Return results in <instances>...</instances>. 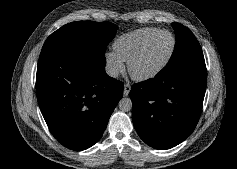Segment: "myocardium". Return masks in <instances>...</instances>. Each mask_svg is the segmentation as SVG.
Masks as SVG:
<instances>
[{"label": "myocardium", "mask_w": 237, "mask_h": 169, "mask_svg": "<svg viewBox=\"0 0 237 169\" xmlns=\"http://www.w3.org/2000/svg\"><path fill=\"white\" fill-rule=\"evenodd\" d=\"M164 33H168L172 39V46H171L170 52L168 53L167 57L154 69L147 71L145 73H137L134 70V64L142 57L143 53L148 48V46L159 35L164 34ZM175 48H176V40H175L174 35L168 30H159L153 36H151L147 41H145L141 45V47L136 51V53L131 57V59L129 60L128 71H129L130 75L132 76L133 79H135L137 81H146V80L153 78L154 76L159 74L166 67V65L169 63V61L171 60V58L175 52Z\"/></svg>", "instance_id": "f54148a6"}]
</instances>
